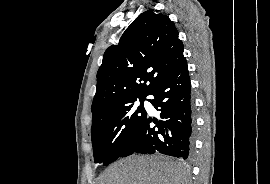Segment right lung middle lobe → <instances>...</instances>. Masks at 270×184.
Returning <instances> with one entry per match:
<instances>
[{
	"label": "right lung middle lobe",
	"instance_id": "right-lung-middle-lobe-1",
	"mask_svg": "<svg viewBox=\"0 0 270 184\" xmlns=\"http://www.w3.org/2000/svg\"><path fill=\"white\" fill-rule=\"evenodd\" d=\"M144 99L145 97L139 98V107L134 105L137 99L131 100L92 124L91 139L95 162L106 166L120 156L147 116L143 107Z\"/></svg>",
	"mask_w": 270,
	"mask_h": 184
}]
</instances>
